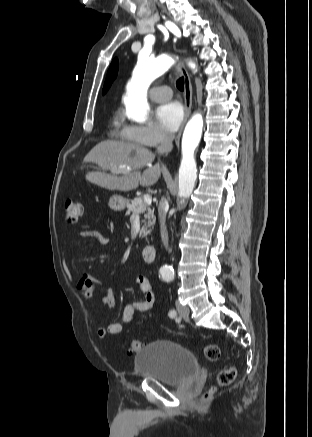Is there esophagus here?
I'll return each mask as SVG.
<instances>
[{"label": "esophagus", "instance_id": "obj_1", "mask_svg": "<svg viewBox=\"0 0 312 437\" xmlns=\"http://www.w3.org/2000/svg\"><path fill=\"white\" fill-rule=\"evenodd\" d=\"M179 74H181L184 78V100H185V105H184V119L182 121V124L180 126L179 132L177 134V137L175 139V143L176 146L179 147V143H180V138H181V134L183 132L184 126L191 114V109H192V94H193V90H192V83H191V79L189 76V73L185 67V64L183 61H181L179 69H178Z\"/></svg>", "mask_w": 312, "mask_h": 437}]
</instances>
